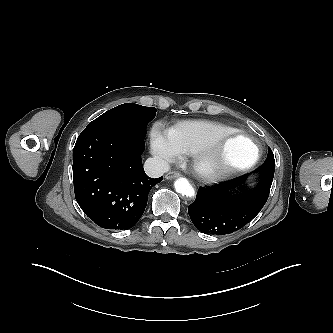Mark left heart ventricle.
I'll list each match as a JSON object with an SVG mask.
<instances>
[{
  "label": "left heart ventricle",
  "instance_id": "1",
  "mask_svg": "<svg viewBox=\"0 0 333 333\" xmlns=\"http://www.w3.org/2000/svg\"><path fill=\"white\" fill-rule=\"evenodd\" d=\"M254 147L242 138L226 141L220 151L219 159L229 164H243L254 155Z\"/></svg>",
  "mask_w": 333,
  "mask_h": 333
}]
</instances>
